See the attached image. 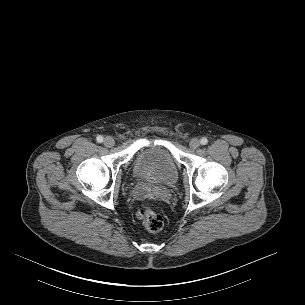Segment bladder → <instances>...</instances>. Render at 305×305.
<instances>
[{"label":"bladder","instance_id":"bladder-1","mask_svg":"<svg viewBox=\"0 0 305 305\" xmlns=\"http://www.w3.org/2000/svg\"><path fill=\"white\" fill-rule=\"evenodd\" d=\"M135 177L148 185L172 186L178 179V168L170 151L162 144H151L139 150L134 161Z\"/></svg>","mask_w":305,"mask_h":305}]
</instances>
